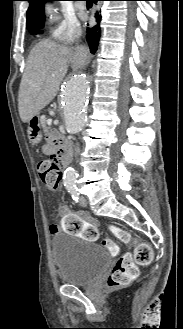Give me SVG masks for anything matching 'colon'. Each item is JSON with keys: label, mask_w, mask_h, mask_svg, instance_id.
<instances>
[{"label": "colon", "mask_w": 183, "mask_h": 329, "mask_svg": "<svg viewBox=\"0 0 183 329\" xmlns=\"http://www.w3.org/2000/svg\"><path fill=\"white\" fill-rule=\"evenodd\" d=\"M38 172L41 181L53 192L61 189L63 170L59 161L54 156L42 159L38 164ZM81 220L73 216L72 219ZM115 235L124 243L131 242L130 235L118 228L113 229ZM103 246L112 254L117 253V247L113 240L104 239ZM152 260V250L146 243H138L132 254L126 253L118 258L112 271L110 272L107 285L112 288L121 287L134 280L137 276V265H148Z\"/></svg>", "instance_id": "obj_1"}]
</instances>
